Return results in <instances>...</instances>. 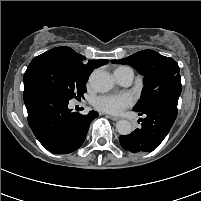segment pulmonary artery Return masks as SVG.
Wrapping results in <instances>:
<instances>
[{
	"label": "pulmonary artery",
	"mask_w": 201,
	"mask_h": 201,
	"mask_svg": "<svg viewBox=\"0 0 201 201\" xmlns=\"http://www.w3.org/2000/svg\"><path fill=\"white\" fill-rule=\"evenodd\" d=\"M114 75L117 81L125 86L131 84L134 78V72L132 71V69L115 71Z\"/></svg>",
	"instance_id": "pulmonary-artery-1"
}]
</instances>
